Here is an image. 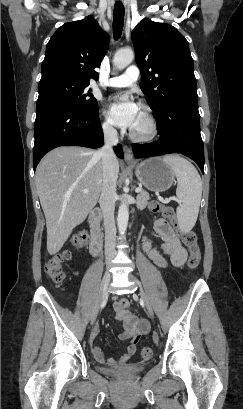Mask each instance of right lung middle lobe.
<instances>
[{
	"mask_svg": "<svg viewBox=\"0 0 243 409\" xmlns=\"http://www.w3.org/2000/svg\"><path fill=\"white\" fill-rule=\"evenodd\" d=\"M88 85L62 76L41 79L36 111L53 106L79 111L95 109L98 103L91 90L87 89Z\"/></svg>",
	"mask_w": 243,
	"mask_h": 409,
	"instance_id": "obj_1",
	"label": "right lung middle lobe"
}]
</instances>
